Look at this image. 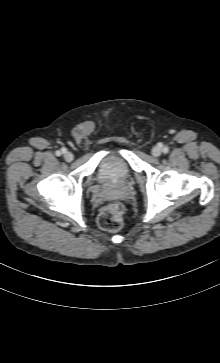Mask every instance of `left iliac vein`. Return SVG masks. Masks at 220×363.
Listing matches in <instances>:
<instances>
[{"instance_id":"1","label":"left iliac vein","mask_w":220,"mask_h":363,"mask_svg":"<svg viewBox=\"0 0 220 363\" xmlns=\"http://www.w3.org/2000/svg\"><path fill=\"white\" fill-rule=\"evenodd\" d=\"M161 153H162V149H161V147H160V146H154V147L152 148V155H153V156L158 157V156H160V155H161Z\"/></svg>"}]
</instances>
